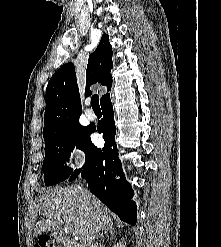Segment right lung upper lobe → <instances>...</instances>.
<instances>
[{"instance_id": "obj_1", "label": "right lung upper lobe", "mask_w": 221, "mask_h": 247, "mask_svg": "<svg viewBox=\"0 0 221 247\" xmlns=\"http://www.w3.org/2000/svg\"><path fill=\"white\" fill-rule=\"evenodd\" d=\"M112 67V46L109 43V36L103 34L98 47L88 59L85 97L91 94L90 86L95 83H101L107 86L108 91L111 90ZM109 97V93L103 95L100 104ZM45 99L44 138L79 122L82 108L73 63L63 65L54 73L47 85Z\"/></svg>"}]
</instances>
